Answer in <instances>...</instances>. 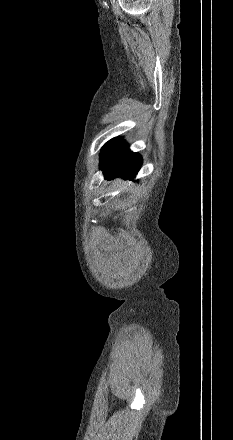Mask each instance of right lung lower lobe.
<instances>
[{
  "label": "right lung lower lobe",
  "mask_w": 233,
  "mask_h": 440,
  "mask_svg": "<svg viewBox=\"0 0 233 440\" xmlns=\"http://www.w3.org/2000/svg\"><path fill=\"white\" fill-rule=\"evenodd\" d=\"M100 160L101 169L108 179L117 176L133 178L142 164L141 156L131 152L122 138L108 141L102 149Z\"/></svg>",
  "instance_id": "right-lung-lower-lobe-1"
}]
</instances>
